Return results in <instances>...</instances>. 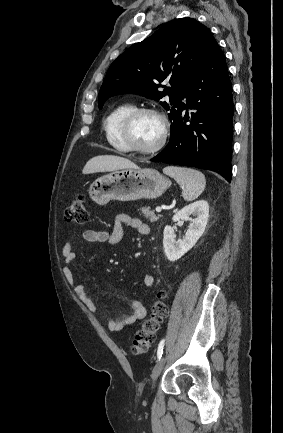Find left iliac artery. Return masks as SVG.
<instances>
[{
    "label": "left iliac artery",
    "mask_w": 283,
    "mask_h": 433,
    "mask_svg": "<svg viewBox=\"0 0 283 433\" xmlns=\"http://www.w3.org/2000/svg\"><path fill=\"white\" fill-rule=\"evenodd\" d=\"M165 345V339L161 340L157 350V359L160 360L163 354V348Z\"/></svg>",
    "instance_id": "obj_1"
}]
</instances>
